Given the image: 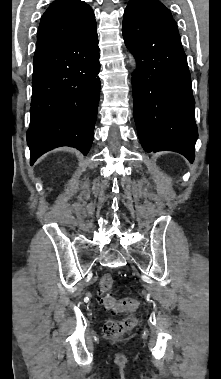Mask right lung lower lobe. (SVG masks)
Returning <instances> with one entry per match:
<instances>
[{"label":"right lung lower lobe","instance_id":"98d812e1","mask_svg":"<svg viewBox=\"0 0 221 379\" xmlns=\"http://www.w3.org/2000/svg\"><path fill=\"white\" fill-rule=\"evenodd\" d=\"M96 29L95 23L77 39L34 56L27 131L31 165L59 146L84 155L90 150L100 97Z\"/></svg>","mask_w":221,"mask_h":379}]
</instances>
